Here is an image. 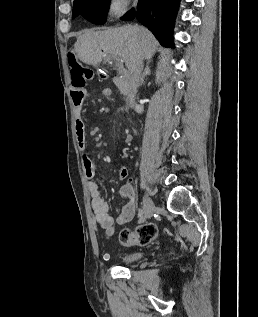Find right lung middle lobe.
<instances>
[{"instance_id": "1", "label": "right lung middle lobe", "mask_w": 258, "mask_h": 317, "mask_svg": "<svg viewBox=\"0 0 258 317\" xmlns=\"http://www.w3.org/2000/svg\"><path fill=\"white\" fill-rule=\"evenodd\" d=\"M110 0H74L72 18L79 15L88 21L102 25L106 22V14Z\"/></svg>"}]
</instances>
